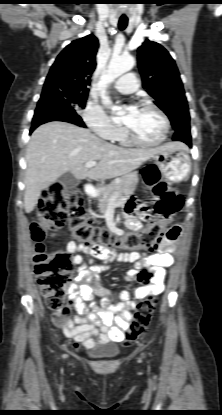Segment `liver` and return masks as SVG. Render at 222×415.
<instances>
[{
	"instance_id": "liver-1",
	"label": "liver",
	"mask_w": 222,
	"mask_h": 415,
	"mask_svg": "<svg viewBox=\"0 0 222 415\" xmlns=\"http://www.w3.org/2000/svg\"><path fill=\"white\" fill-rule=\"evenodd\" d=\"M186 146L180 142L150 149H126L112 145L89 130L53 121L39 126L31 135L26 151L24 208L34 210L42 190L65 172L77 179H110L127 174L157 153ZM88 161H99L86 168Z\"/></svg>"
}]
</instances>
